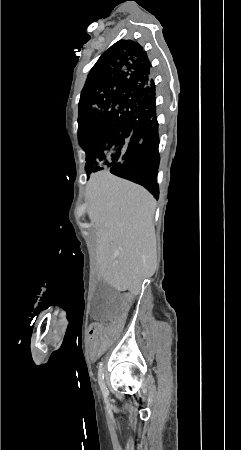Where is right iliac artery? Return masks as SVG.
I'll return each instance as SVG.
<instances>
[{
    "label": "right iliac artery",
    "mask_w": 241,
    "mask_h": 450,
    "mask_svg": "<svg viewBox=\"0 0 241 450\" xmlns=\"http://www.w3.org/2000/svg\"><path fill=\"white\" fill-rule=\"evenodd\" d=\"M98 381H99V385L101 388V391L104 395H108L109 391L106 388L105 382H104V374H103V366L102 363L100 364L99 367V372H98Z\"/></svg>",
    "instance_id": "right-iliac-artery-1"
}]
</instances>
